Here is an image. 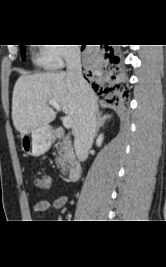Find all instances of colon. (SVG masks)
<instances>
[{
	"label": "colon",
	"mask_w": 166,
	"mask_h": 267,
	"mask_svg": "<svg viewBox=\"0 0 166 267\" xmlns=\"http://www.w3.org/2000/svg\"><path fill=\"white\" fill-rule=\"evenodd\" d=\"M36 184L39 188L47 189L50 186V178L46 175L37 178Z\"/></svg>",
	"instance_id": "5ec220e1"
}]
</instances>
